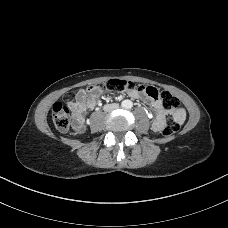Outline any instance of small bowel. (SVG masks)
<instances>
[{"mask_svg": "<svg viewBox=\"0 0 228 228\" xmlns=\"http://www.w3.org/2000/svg\"><path fill=\"white\" fill-rule=\"evenodd\" d=\"M102 89L97 86H89L86 89L80 90L74 101H69L68 105L73 111L76 120V129L78 131L84 130V113L93 109L96 106V101L100 96ZM127 95L133 99L141 98L143 93L138 90H127ZM151 105L156 111V117L153 120V129L155 131H160L163 128L165 121V109L163 108L159 98H151ZM185 111L183 109H178L175 113V117L179 122L185 120Z\"/></svg>", "mask_w": 228, "mask_h": 228, "instance_id": "1", "label": "small bowel"}]
</instances>
